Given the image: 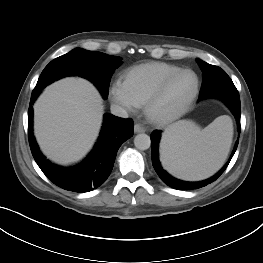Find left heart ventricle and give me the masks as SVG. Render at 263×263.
<instances>
[{
    "mask_svg": "<svg viewBox=\"0 0 263 263\" xmlns=\"http://www.w3.org/2000/svg\"><path fill=\"white\" fill-rule=\"evenodd\" d=\"M195 83V76L190 72L182 73L176 77L158 101L155 107L156 113L168 114L178 109L192 94Z\"/></svg>",
    "mask_w": 263,
    "mask_h": 263,
    "instance_id": "left-heart-ventricle-1",
    "label": "left heart ventricle"
}]
</instances>
